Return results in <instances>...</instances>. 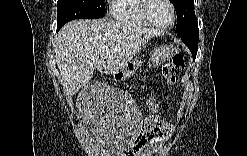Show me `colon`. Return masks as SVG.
<instances>
[{"label":"colon","instance_id":"1","mask_svg":"<svg viewBox=\"0 0 247 156\" xmlns=\"http://www.w3.org/2000/svg\"><path fill=\"white\" fill-rule=\"evenodd\" d=\"M184 68L185 60L182 55H175L170 61L162 66V76L168 87L173 88L175 86L177 78ZM159 117V113L150 117L151 121L148 122L149 126L144 129V135L152 136L155 134L156 130H159V126L161 125Z\"/></svg>","mask_w":247,"mask_h":156}]
</instances>
